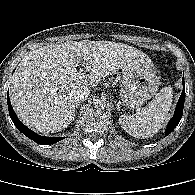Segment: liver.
Wrapping results in <instances>:
<instances>
[{
	"label": "liver",
	"instance_id": "6515ba94",
	"mask_svg": "<svg viewBox=\"0 0 195 195\" xmlns=\"http://www.w3.org/2000/svg\"><path fill=\"white\" fill-rule=\"evenodd\" d=\"M145 54L111 41H71L46 45L24 56L11 80L10 99L22 122L43 134L61 131L74 120L73 91L94 88ZM88 74L77 73L81 60Z\"/></svg>",
	"mask_w": 195,
	"mask_h": 195
}]
</instances>
